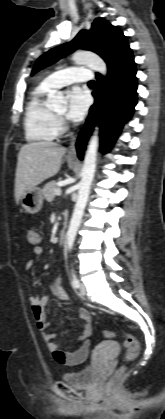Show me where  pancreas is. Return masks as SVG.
<instances>
[{
  "instance_id": "obj_1",
  "label": "pancreas",
  "mask_w": 165,
  "mask_h": 419,
  "mask_svg": "<svg viewBox=\"0 0 165 419\" xmlns=\"http://www.w3.org/2000/svg\"><path fill=\"white\" fill-rule=\"evenodd\" d=\"M58 189L56 181L52 180L45 184L42 193L47 201H52L55 197V190Z\"/></svg>"
}]
</instances>
